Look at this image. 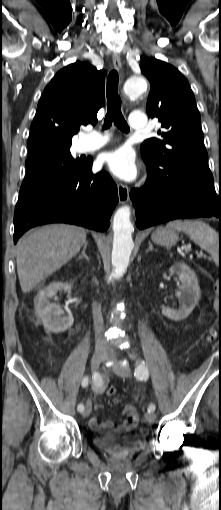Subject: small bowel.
<instances>
[{
    "label": "small bowel",
    "mask_w": 221,
    "mask_h": 510,
    "mask_svg": "<svg viewBox=\"0 0 221 510\" xmlns=\"http://www.w3.org/2000/svg\"><path fill=\"white\" fill-rule=\"evenodd\" d=\"M101 390H102L101 386L95 387L96 393H100ZM102 408H103V406L101 404L94 405L95 411H100ZM132 411H136L134 406L127 405L123 410V414L128 416L129 413H131ZM89 425L92 429L97 430L101 433L128 432V431L134 429V427H135L134 424H129L127 421L122 424H119V425H114L111 421L100 422L95 416H92L89 419Z\"/></svg>",
    "instance_id": "obj_1"
}]
</instances>
